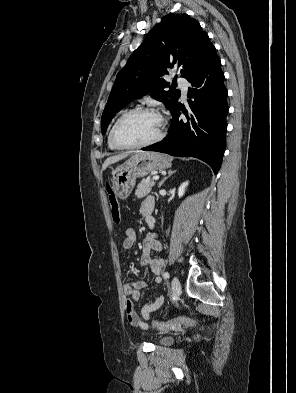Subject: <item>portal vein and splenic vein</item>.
Instances as JSON below:
<instances>
[{
  "instance_id": "obj_1",
  "label": "portal vein and splenic vein",
  "mask_w": 296,
  "mask_h": 393,
  "mask_svg": "<svg viewBox=\"0 0 296 393\" xmlns=\"http://www.w3.org/2000/svg\"><path fill=\"white\" fill-rule=\"evenodd\" d=\"M153 180H154V181H157V180H159V176H157V175H156V176H154V177H153Z\"/></svg>"
}]
</instances>
